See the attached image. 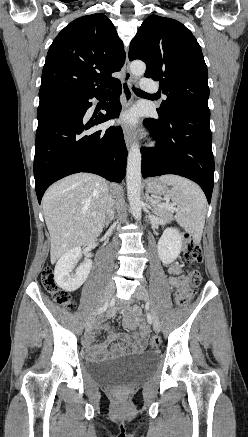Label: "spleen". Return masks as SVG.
<instances>
[{"label":"spleen","mask_w":248,"mask_h":437,"mask_svg":"<svg viewBox=\"0 0 248 437\" xmlns=\"http://www.w3.org/2000/svg\"><path fill=\"white\" fill-rule=\"evenodd\" d=\"M160 180L172 188L169 196L176 205V221L194 241L200 242L206 217V198L194 182L176 175H163Z\"/></svg>","instance_id":"obj_1"}]
</instances>
